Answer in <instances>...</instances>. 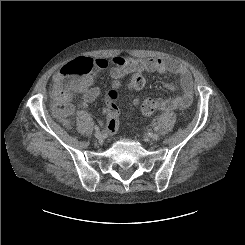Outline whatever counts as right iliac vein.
<instances>
[{
	"instance_id": "1",
	"label": "right iliac vein",
	"mask_w": 245,
	"mask_h": 245,
	"mask_svg": "<svg viewBox=\"0 0 245 245\" xmlns=\"http://www.w3.org/2000/svg\"><path fill=\"white\" fill-rule=\"evenodd\" d=\"M94 135L98 140H101L103 138V134L99 131H96Z\"/></svg>"
}]
</instances>
